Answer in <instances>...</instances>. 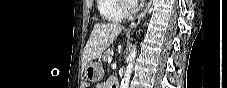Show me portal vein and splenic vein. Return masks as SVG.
<instances>
[{
	"label": "portal vein and splenic vein",
	"mask_w": 227,
	"mask_h": 88,
	"mask_svg": "<svg viewBox=\"0 0 227 88\" xmlns=\"http://www.w3.org/2000/svg\"><path fill=\"white\" fill-rule=\"evenodd\" d=\"M111 61H112V57L110 56L108 57V62L111 63Z\"/></svg>",
	"instance_id": "18ae733b"
}]
</instances>
